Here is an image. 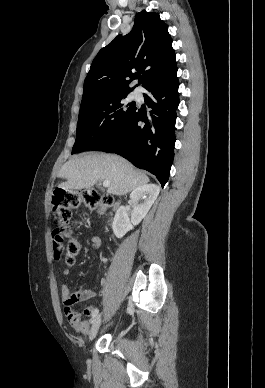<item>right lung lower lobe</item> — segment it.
<instances>
[{
  "instance_id": "obj_1",
  "label": "right lung lower lobe",
  "mask_w": 265,
  "mask_h": 388,
  "mask_svg": "<svg viewBox=\"0 0 265 388\" xmlns=\"http://www.w3.org/2000/svg\"><path fill=\"white\" fill-rule=\"evenodd\" d=\"M179 81L175 74L148 85L144 94L152 110L136 108L126 124L101 151L116 153L156 176L162 187L168 181L174 157Z\"/></svg>"
}]
</instances>
